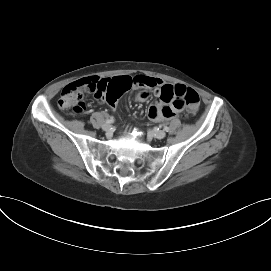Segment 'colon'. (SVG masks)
Returning <instances> with one entry per match:
<instances>
[{
  "label": "colon",
  "mask_w": 271,
  "mask_h": 271,
  "mask_svg": "<svg viewBox=\"0 0 271 271\" xmlns=\"http://www.w3.org/2000/svg\"><path fill=\"white\" fill-rule=\"evenodd\" d=\"M90 82L84 79L68 84L61 92L58 106L61 109L71 110L75 114L81 113L85 108L83 92H90ZM138 84H140L139 80ZM163 98L166 100L175 98L179 104L186 105L191 112H195L200 104L199 94L195 90L181 85L175 88L165 87L163 89Z\"/></svg>",
  "instance_id": "obj_1"
}]
</instances>
